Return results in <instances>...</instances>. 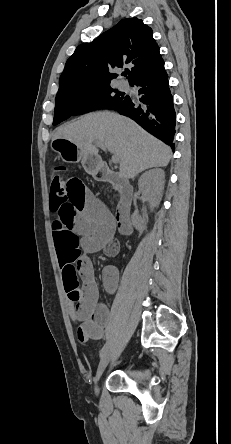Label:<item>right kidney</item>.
<instances>
[{
	"instance_id": "ca27d5eb",
	"label": "right kidney",
	"mask_w": 231,
	"mask_h": 444,
	"mask_svg": "<svg viewBox=\"0 0 231 444\" xmlns=\"http://www.w3.org/2000/svg\"><path fill=\"white\" fill-rule=\"evenodd\" d=\"M164 171L162 169H153L145 172L138 181L139 190L152 208L158 207L164 190ZM133 226L140 232L146 228V219L138 213L131 217Z\"/></svg>"
}]
</instances>
